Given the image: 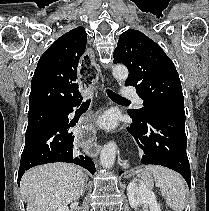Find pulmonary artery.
<instances>
[{
  "label": "pulmonary artery",
  "instance_id": "1",
  "mask_svg": "<svg viewBox=\"0 0 209 211\" xmlns=\"http://www.w3.org/2000/svg\"><path fill=\"white\" fill-rule=\"evenodd\" d=\"M121 96L125 99H133L135 100L139 105L143 103L142 99L139 97L137 92L130 88V87H124L121 91Z\"/></svg>",
  "mask_w": 209,
  "mask_h": 211
}]
</instances>
